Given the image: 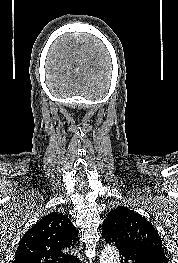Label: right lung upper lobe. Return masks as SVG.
I'll return each mask as SVG.
<instances>
[{
    "instance_id": "1",
    "label": "right lung upper lobe",
    "mask_w": 178,
    "mask_h": 263,
    "mask_svg": "<svg viewBox=\"0 0 178 263\" xmlns=\"http://www.w3.org/2000/svg\"><path fill=\"white\" fill-rule=\"evenodd\" d=\"M77 241V231L69 218L53 212L24 234L13 263H73L77 257L66 250Z\"/></svg>"
}]
</instances>
